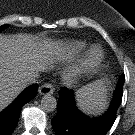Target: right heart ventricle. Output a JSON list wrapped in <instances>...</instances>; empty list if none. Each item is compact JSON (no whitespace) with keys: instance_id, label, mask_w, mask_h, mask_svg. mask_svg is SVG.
<instances>
[{"instance_id":"1","label":"right heart ventricle","mask_w":135,"mask_h":135,"mask_svg":"<svg viewBox=\"0 0 135 135\" xmlns=\"http://www.w3.org/2000/svg\"><path fill=\"white\" fill-rule=\"evenodd\" d=\"M86 47V44L84 42H76L72 45V49L75 52H80Z\"/></svg>"}]
</instances>
